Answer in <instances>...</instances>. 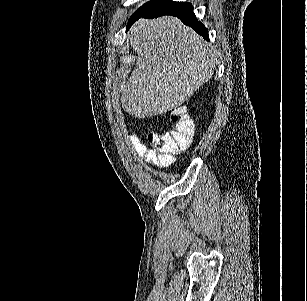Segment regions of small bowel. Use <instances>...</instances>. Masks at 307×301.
Listing matches in <instances>:
<instances>
[{
	"label": "small bowel",
	"instance_id": "obj_1",
	"mask_svg": "<svg viewBox=\"0 0 307 301\" xmlns=\"http://www.w3.org/2000/svg\"><path fill=\"white\" fill-rule=\"evenodd\" d=\"M130 143L136 156L144 158L149 164L155 167H162L164 164L160 158L143 144L135 133L130 135Z\"/></svg>",
	"mask_w": 307,
	"mask_h": 301
}]
</instances>
